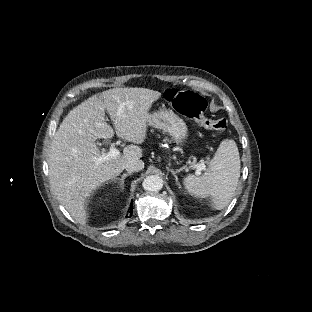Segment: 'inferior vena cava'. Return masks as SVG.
<instances>
[{
  "mask_svg": "<svg viewBox=\"0 0 312 312\" xmlns=\"http://www.w3.org/2000/svg\"><path fill=\"white\" fill-rule=\"evenodd\" d=\"M126 170L130 173L141 171L144 168V162L142 160L136 159L127 162L125 166Z\"/></svg>",
  "mask_w": 312,
  "mask_h": 312,
  "instance_id": "1",
  "label": "inferior vena cava"
}]
</instances>
